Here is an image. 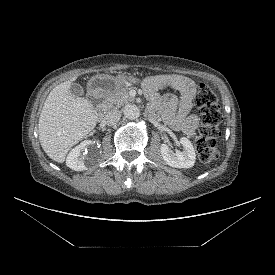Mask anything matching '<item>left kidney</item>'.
Listing matches in <instances>:
<instances>
[{"mask_svg":"<svg viewBox=\"0 0 275 275\" xmlns=\"http://www.w3.org/2000/svg\"><path fill=\"white\" fill-rule=\"evenodd\" d=\"M183 151H173L168 145H161V155L164 161L171 167L175 168H191L194 166L196 154L190 140L186 137L180 139Z\"/></svg>","mask_w":275,"mask_h":275,"instance_id":"obj_1","label":"left kidney"}]
</instances>
